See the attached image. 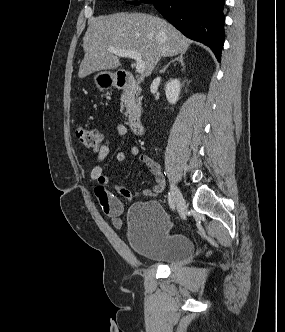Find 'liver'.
<instances>
[{"instance_id":"1","label":"liver","mask_w":285,"mask_h":332,"mask_svg":"<svg viewBox=\"0 0 285 332\" xmlns=\"http://www.w3.org/2000/svg\"><path fill=\"white\" fill-rule=\"evenodd\" d=\"M191 41L167 21L142 13H116L90 21L83 38L84 58L79 67V78L96 71L121 66L110 47L135 51L145 62L149 76L161 57L184 54Z\"/></svg>"}]
</instances>
